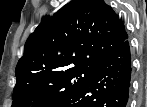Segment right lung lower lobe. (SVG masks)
<instances>
[{
	"instance_id": "1",
	"label": "right lung lower lobe",
	"mask_w": 147,
	"mask_h": 107,
	"mask_svg": "<svg viewBox=\"0 0 147 107\" xmlns=\"http://www.w3.org/2000/svg\"><path fill=\"white\" fill-rule=\"evenodd\" d=\"M131 71L130 46L126 39L96 67L81 88L57 107H127Z\"/></svg>"
}]
</instances>
